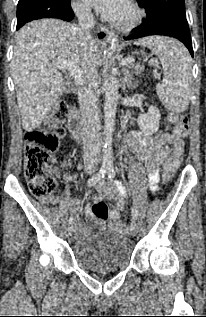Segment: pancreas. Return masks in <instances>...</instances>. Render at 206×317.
<instances>
[{"label":"pancreas","instance_id":"cf45deb5","mask_svg":"<svg viewBox=\"0 0 206 317\" xmlns=\"http://www.w3.org/2000/svg\"><path fill=\"white\" fill-rule=\"evenodd\" d=\"M127 69H130L132 73H139L143 71V66L140 64L139 61H131L128 65H126Z\"/></svg>","mask_w":206,"mask_h":317}]
</instances>
